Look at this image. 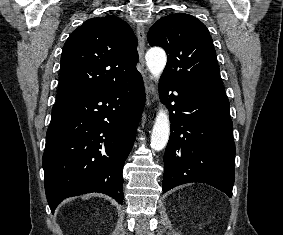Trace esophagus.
Returning <instances> with one entry per match:
<instances>
[{"mask_svg":"<svg viewBox=\"0 0 283 235\" xmlns=\"http://www.w3.org/2000/svg\"><path fill=\"white\" fill-rule=\"evenodd\" d=\"M137 39H138V55H139V62L144 68L145 66V61H144V53H145V30L142 25L137 26ZM145 84H146V89L149 95L152 97V101L155 100L156 95H155V87L152 82V79L146 74L143 73Z\"/></svg>","mask_w":283,"mask_h":235,"instance_id":"obj_1","label":"esophagus"}]
</instances>
